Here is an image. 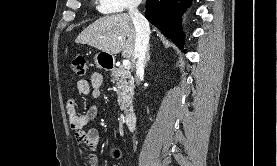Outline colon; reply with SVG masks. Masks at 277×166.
Returning <instances> with one entry per match:
<instances>
[{
	"mask_svg": "<svg viewBox=\"0 0 277 166\" xmlns=\"http://www.w3.org/2000/svg\"><path fill=\"white\" fill-rule=\"evenodd\" d=\"M72 69L73 71L79 75L83 76L87 72L88 62L87 59L83 56H77L72 60Z\"/></svg>",
	"mask_w": 277,
	"mask_h": 166,
	"instance_id": "5ec220e1",
	"label": "colon"
}]
</instances>
